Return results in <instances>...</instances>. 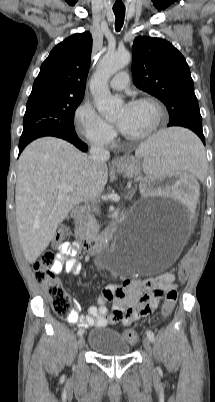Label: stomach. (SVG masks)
Segmentation results:
<instances>
[{
  "label": "stomach",
  "mask_w": 215,
  "mask_h": 402,
  "mask_svg": "<svg viewBox=\"0 0 215 402\" xmlns=\"http://www.w3.org/2000/svg\"><path fill=\"white\" fill-rule=\"evenodd\" d=\"M115 170L126 177H136L140 174L142 166L138 158L125 157Z\"/></svg>",
  "instance_id": "obj_1"
}]
</instances>
